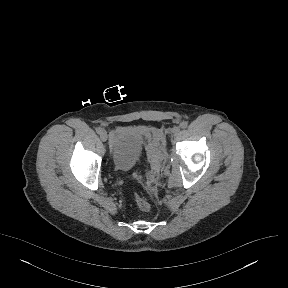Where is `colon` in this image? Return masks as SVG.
<instances>
[{
  "label": "colon",
  "mask_w": 288,
  "mask_h": 288,
  "mask_svg": "<svg viewBox=\"0 0 288 288\" xmlns=\"http://www.w3.org/2000/svg\"><path fill=\"white\" fill-rule=\"evenodd\" d=\"M134 202L136 207L142 211V212H147L150 209V204L148 201L142 197L141 195L135 194L134 195Z\"/></svg>",
  "instance_id": "obj_1"
}]
</instances>
